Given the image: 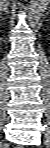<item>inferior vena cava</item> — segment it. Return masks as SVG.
<instances>
[{"label":"inferior vena cava","mask_w":50,"mask_h":148,"mask_svg":"<svg viewBox=\"0 0 50 148\" xmlns=\"http://www.w3.org/2000/svg\"><path fill=\"white\" fill-rule=\"evenodd\" d=\"M5 2H7V1H6V0H4L3 7L5 6Z\"/></svg>","instance_id":"obj_1"}]
</instances>
